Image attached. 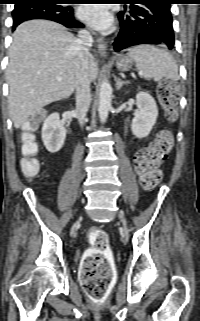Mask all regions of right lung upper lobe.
<instances>
[{
	"instance_id": "1",
	"label": "right lung upper lobe",
	"mask_w": 200,
	"mask_h": 321,
	"mask_svg": "<svg viewBox=\"0 0 200 321\" xmlns=\"http://www.w3.org/2000/svg\"><path fill=\"white\" fill-rule=\"evenodd\" d=\"M14 1H15V6H16V5H20V4H24V3L30 2L32 0H14Z\"/></svg>"
}]
</instances>
